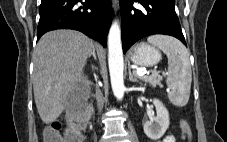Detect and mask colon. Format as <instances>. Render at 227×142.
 <instances>
[{"label":"colon","instance_id":"5ec220e1","mask_svg":"<svg viewBox=\"0 0 227 142\" xmlns=\"http://www.w3.org/2000/svg\"><path fill=\"white\" fill-rule=\"evenodd\" d=\"M87 122L86 111H76L70 115L68 127L63 128L60 122H53L44 130V142H80V131ZM183 139L191 142V131L185 120L181 121Z\"/></svg>","mask_w":227,"mask_h":142}]
</instances>
